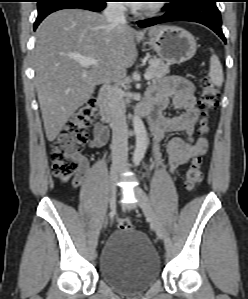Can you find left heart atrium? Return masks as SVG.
<instances>
[{"mask_svg":"<svg viewBox=\"0 0 248 299\" xmlns=\"http://www.w3.org/2000/svg\"><path fill=\"white\" fill-rule=\"evenodd\" d=\"M143 4H144L143 0H133L130 2V5L134 7H141L143 6Z\"/></svg>","mask_w":248,"mask_h":299,"instance_id":"obj_1","label":"left heart atrium"}]
</instances>
